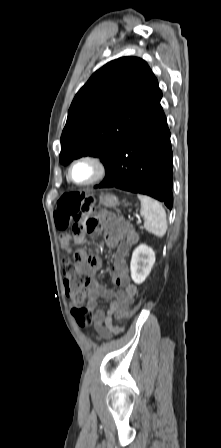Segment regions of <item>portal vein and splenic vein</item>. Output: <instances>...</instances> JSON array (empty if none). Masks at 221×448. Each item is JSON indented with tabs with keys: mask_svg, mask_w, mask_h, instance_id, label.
<instances>
[{
	"mask_svg": "<svg viewBox=\"0 0 221 448\" xmlns=\"http://www.w3.org/2000/svg\"><path fill=\"white\" fill-rule=\"evenodd\" d=\"M138 223H141V219L138 220Z\"/></svg>",
	"mask_w": 221,
	"mask_h": 448,
	"instance_id": "portal-vein-and-splenic-vein-1",
	"label": "portal vein and splenic vein"
}]
</instances>
